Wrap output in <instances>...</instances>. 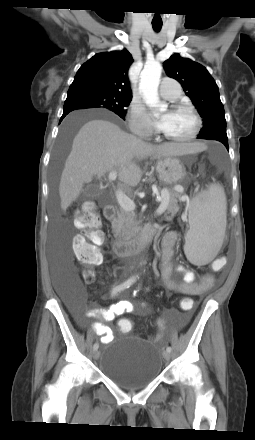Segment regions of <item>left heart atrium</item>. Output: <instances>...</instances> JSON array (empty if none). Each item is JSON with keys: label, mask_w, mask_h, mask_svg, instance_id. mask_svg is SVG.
<instances>
[{"label": "left heart atrium", "mask_w": 255, "mask_h": 440, "mask_svg": "<svg viewBox=\"0 0 255 440\" xmlns=\"http://www.w3.org/2000/svg\"><path fill=\"white\" fill-rule=\"evenodd\" d=\"M168 122H169V113L154 119V125L156 126V128L162 131L166 129Z\"/></svg>", "instance_id": "39dd6f15"}]
</instances>
